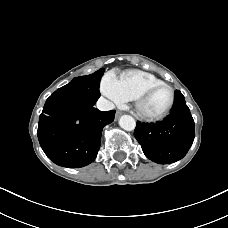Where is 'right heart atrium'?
I'll list each match as a JSON object with an SVG mask.
<instances>
[{
    "label": "right heart atrium",
    "instance_id": "obj_1",
    "mask_svg": "<svg viewBox=\"0 0 228 228\" xmlns=\"http://www.w3.org/2000/svg\"><path fill=\"white\" fill-rule=\"evenodd\" d=\"M101 90L110 100L116 104H121L126 101V99L118 90L116 77L111 73H108L103 77L101 82Z\"/></svg>",
    "mask_w": 228,
    "mask_h": 228
}]
</instances>
